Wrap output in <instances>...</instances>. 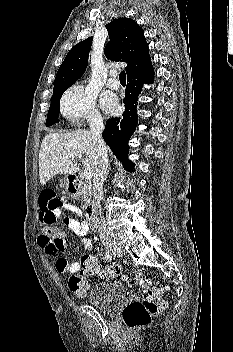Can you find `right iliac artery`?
Instances as JSON below:
<instances>
[{"label": "right iliac artery", "mask_w": 233, "mask_h": 352, "mask_svg": "<svg viewBox=\"0 0 233 352\" xmlns=\"http://www.w3.org/2000/svg\"><path fill=\"white\" fill-rule=\"evenodd\" d=\"M105 259L110 261L112 259V254L110 252H106Z\"/></svg>", "instance_id": "1"}]
</instances>
